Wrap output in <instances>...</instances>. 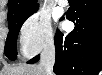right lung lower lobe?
I'll list each match as a JSON object with an SVG mask.
<instances>
[{
	"label": "right lung lower lobe",
	"mask_w": 102,
	"mask_h": 75,
	"mask_svg": "<svg viewBox=\"0 0 102 75\" xmlns=\"http://www.w3.org/2000/svg\"><path fill=\"white\" fill-rule=\"evenodd\" d=\"M66 16L75 23V28L66 36L56 32L54 73L97 75L102 65V1L73 0ZM38 60L39 55L27 63Z\"/></svg>",
	"instance_id": "1"
}]
</instances>
